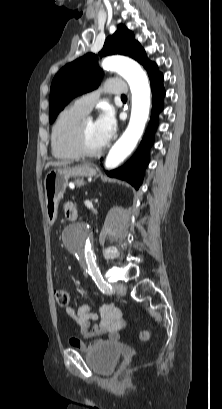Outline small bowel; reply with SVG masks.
I'll return each mask as SVG.
<instances>
[{"label": "small bowel", "instance_id": "small-bowel-1", "mask_svg": "<svg viewBox=\"0 0 222 409\" xmlns=\"http://www.w3.org/2000/svg\"><path fill=\"white\" fill-rule=\"evenodd\" d=\"M73 210H77L73 204L65 206L64 211L67 218ZM93 309V303L83 304L77 310L71 307L66 309L68 316L78 325L81 335L87 340H73V347L81 351H87L106 342L118 341L121 331L126 327L124 313L115 303L101 306L98 312ZM93 337L99 338L88 341Z\"/></svg>", "mask_w": 222, "mask_h": 409}]
</instances>
